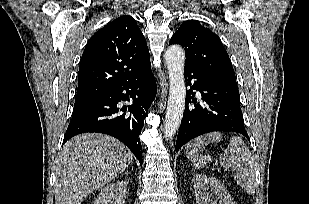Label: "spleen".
<instances>
[{
    "label": "spleen",
    "instance_id": "spleen-1",
    "mask_svg": "<svg viewBox=\"0 0 309 204\" xmlns=\"http://www.w3.org/2000/svg\"><path fill=\"white\" fill-rule=\"evenodd\" d=\"M222 134L212 132L193 139L185 146V154L196 168L204 167L206 161H211V156H203L199 152L205 149L208 143L220 142ZM220 164L230 168L234 180L247 193H254L256 189L255 167L253 157L245 142L239 137H232L228 147L219 157Z\"/></svg>",
    "mask_w": 309,
    "mask_h": 204
}]
</instances>
